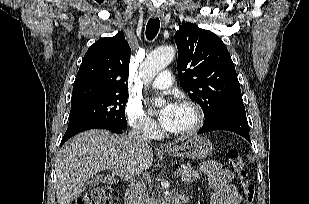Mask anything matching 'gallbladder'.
<instances>
[{
	"label": "gallbladder",
	"mask_w": 309,
	"mask_h": 204,
	"mask_svg": "<svg viewBox=\"0 0 309 204\" xmlns=\"http://www.w3.org/2000/svg\"><path fill=\"white\" fill-rule=\"evenodd\" d=\"M102 181L107 182V181H109V178L105 177V176H101V175L95 176V177H93V178H91L87 181V185L88 186H96Z\"/></svg>",
	"instance_id": "gallbladder-1"
}]
</instances>
